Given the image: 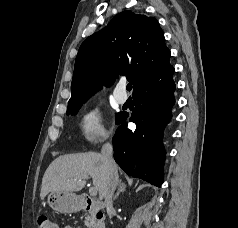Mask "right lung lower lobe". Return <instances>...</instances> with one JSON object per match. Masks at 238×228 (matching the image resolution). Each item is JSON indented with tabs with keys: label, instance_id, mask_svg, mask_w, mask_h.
<instances>
[{
	"label": "right lung lower lobe",
	"instance_id": "1",
	"mask_svg": "<svg viewBox=\"0 0 238 228\" xmlns=\"http://www.w3.org/2000/svg\"><path fill=\"white\" fill-rule=\"evenodd\" d=\"M172 75L153 80L133 94L135 110L130 121L136 124V129H128L125 122L128 115L119 113L116 124L121 125L112 139L118 165L128 175L158 187L163 183L166 155L161 138L175 103Z\"/></svg>",
	"mask_w": 238,
	"mask_h": 228
}]
</instances>
